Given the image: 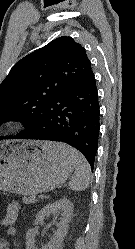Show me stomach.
I'll return each mask as SVG.
<instances>
[{"label":"stomach","mask_w":135,"mask_h":249,"mask_svg":"<svg viewBox=\"0 0 135 249\" xmlns=\"http://www.w3.org/2000/svg\"><path fill=\"white\" fill-rule=\"evenodd\" d=\"M73 163L55 142L10 141L0 145V190L34 195L63 184Z\"/></svg>","instance_id":"0dacf381"}]
</instances>
